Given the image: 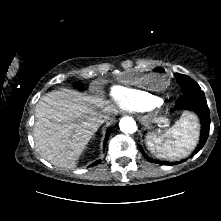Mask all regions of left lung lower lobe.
Instances as JSON below:
<instances>
[{"instance_id":"left-lung-lower-lobe-1","label":"left lung lower lobe","mask_w":221,"mask_h":221,"mask_svg":"<svg viewBox=\"0 0 221 221\" xmlns=\"http://www.w3.org/2000/svg\"><path fill=\"white\" fill-rule=\"evenodd\" d=\"M176 108L179 110H188L191 112H194L197 114V116L200 119V124H201V136H200V141L193 152V155H195L198 151L202 149L204 144L207 141V138L209 136V128H210V111L207 105V101L204 95V92L199 90L191 93H185L183 94L180 99L176 103ZM139 149L144 156L149 162L153 163H158L162 165H175L179 164L180 162L173 163V162H161L159 160H153L149 158L143 151L142 147L139 146Z\"/></svg>"}]
</instances>
